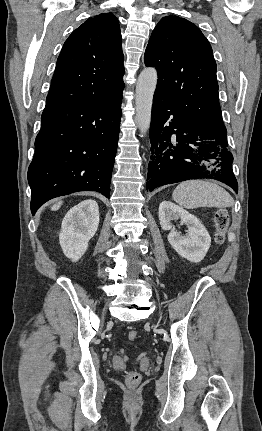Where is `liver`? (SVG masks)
<instances>
[{
    "instance_id": "obj_1",
    "label": "liver",
    "mask_w": 262,
    "mask_h": 431,
    "mask_svg": "<svg viewBox=\"0 0 262 431\" xmlns=\"http://www.w3.org/2000/svg\"><path fill=\"white\" fill-rule=\"evenodd\" d=\"M61 205H62V202H57L51 207V210L56 211L61 207Z\"/></svg>"
}]
</instances>
